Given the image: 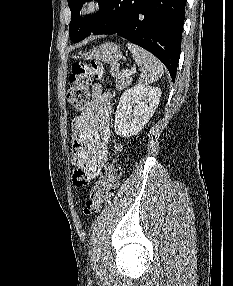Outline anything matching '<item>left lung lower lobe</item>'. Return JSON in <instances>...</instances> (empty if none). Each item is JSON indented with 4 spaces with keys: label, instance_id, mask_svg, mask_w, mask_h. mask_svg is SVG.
<instances>
[{
    "label": "left lung lower lobe",
    "instance_id": "1",
    "mask_svg": "<svg viewBox=\"0 0 233 286\" xmlns=\"http://www.w3.org/2000/svg\"><path fill=\"white\" fill-rule=\"evenodd\" d=\"M187 0H106L85 33L118 34L160 59L175 81Z\"/></svg>",
    "mask_w": 233,
    "mask_h": 286
}]
</instances>
